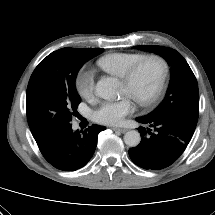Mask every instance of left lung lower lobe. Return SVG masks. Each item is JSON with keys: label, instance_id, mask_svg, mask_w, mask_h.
<instances>
[{"label": "left lung lower lobe", "instance_id": "1", "mask_svg": "<svg viewBox=\"0 0 215 215\" xmlns=\"http://www.w3.org/2000/svg\"><path fill=\"white\" fill-rule=\"evenodd\" d=\"M136 120L153 128H139L141 142L129 149L131 160L139 167L160 170L174 163L186 149L195 128L172 117L142 116Z\"/></svg>", "mask_w": 215, "mask_h": 215}]
</instances>
